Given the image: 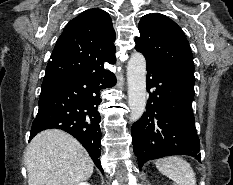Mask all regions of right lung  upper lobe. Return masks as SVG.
<instances>
[{
  "label": "right lung upper lobe",
  "mask_w": 233,
  "mask_h": 185,
  "mask_svg": "<svg viewBox=\"0 0 233 185\" xmlns=\"http://www.w3.org/2000/svg\"><path fill=\"white\" fill-rule=\"evenodd\" d=\"M115 31L109 14L89 9L71 20L57 40L44 80L103 70L116 61Z\"/></svg>",
  "instance_id": "obj_1"
}]
</instances>
